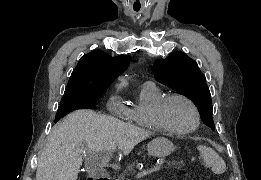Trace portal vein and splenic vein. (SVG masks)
<instances>
[{
	"mask_svg": "<svg viewBox=\"0 0 261 180\" xmlns=\"http://www.w3.org/2000/svg\"><path fill=\"white\" fill-rule=\"evenodd\" d=\"M105 156H109L111 152H103ZM165 165H169V162H159L158 165H153L150 170H143L140 174L134 173V176H136L137 179H142L143 177H146L147 175H151L152 173H156L157 170H163V167Z\"/></svg>",
	"mask_w": 261,
	"mask_h": 180,
	"instance_id": "obj_1",
	"label": "portal vein and splenic vein"
}]
</instances>
